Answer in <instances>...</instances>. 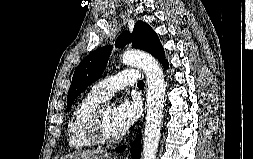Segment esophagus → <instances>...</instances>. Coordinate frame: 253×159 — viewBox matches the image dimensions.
<instances>
[{"label": "esophagus", "instance_id": "34e87169", "mask_svg": "<svg viewBox=\"0 0 253 159\" xmlns=\"http://www.w3.org/2000/svg\"><path fill=\"white\" fill-rule=\"evenodd\" d=\"M124 159H129V154H127V156Z\"/></svg>", "mask_w": 253, "mask_h": 159}]
</instances>
